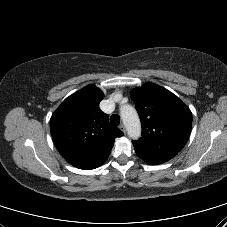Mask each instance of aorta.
I'll return each mask as SVG.
<instances>
[{"instance_id":"762f6f07","label":"aorta","mask_w":227,"mask_h":227,"mask_svg":"<svg viewBox=\"0 0 227 227\" xmlns=\"http://www.w3.org/2000/svg\"><path fill=\"white\" fill-rule=\"evenodd\" d=\"M120 114L129 137L138 139L141 135V123L135 108L131 105H123Z\"/></svg>"}]
</instances>
